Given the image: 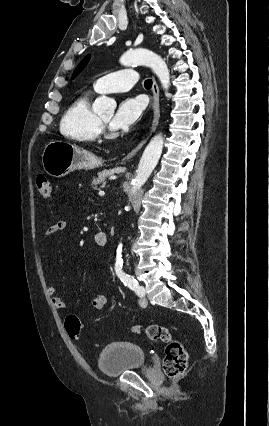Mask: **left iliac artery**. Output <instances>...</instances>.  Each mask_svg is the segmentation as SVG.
Instances as JSON below:
<instances>
[{
  "instance_id": "left-iliac-artery-1",
  "label": "left iliac artery",
  "mask_w": 269,
  "mask_h": 426,
  "mask_svg": "<svg viewBox=\"0 0 269 426\" xmlns=\"http://www.w3.org/2000/svg\"><path fill=\"white\" fill-rule=\"evenodd\" d=\"M117 276L124 283L125 286L129 287L131 290H134L135 293L139 297H143L145 295V290L143 287L139 286L138 282L134 279V277L125 274L122 271V267L115 268Z\"/></svg>"
}]
</instances>
